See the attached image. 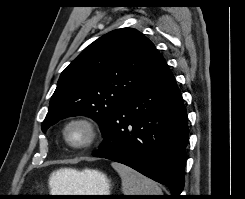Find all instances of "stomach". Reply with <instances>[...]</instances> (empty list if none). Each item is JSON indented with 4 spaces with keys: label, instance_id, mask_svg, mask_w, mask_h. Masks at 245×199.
Returning a JSON list of instances; mask_svg holds the SVG:
<instances>
[{
    "label": "stomach",
    "instance_id": "obj_1",
    "mask_svg": "<svg viewBox=\"0 0 245 199\" xmlns=\"http://www.w3.org/2000/svg\"><path fill=\"white\" fill-rule=\"evenodd\" d=\"M55 195H109L110 180L98 170L85 169L71 174L56 173L52 180ZM84 198H99L85 197Z\"/></svg>",
    "mask_w": 245,
    "mask_h": 199
}]
</instances>
